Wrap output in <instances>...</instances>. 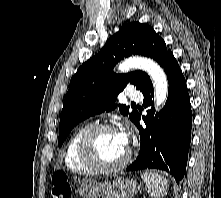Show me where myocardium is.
I'll return each mask as SVG.
<instances>
[{
	"label": "myocardium",
	"mask_w": 221,
	"mask_h": 198,
	"mask_svg": "<svg viewBox=\"0 0 221 198\" xmlns=\"http://www.w3.org/2000/svg\"><path fill=\"white\" fill-rule=\"evenodd\" d=\"M105 131H116V128L107 123L91 126L84 134L80 142V156L82 161L96 172L111 173L123 169L130 161L132 151L128 147L124 158L112 165L102 163L96 154V140L100 133Z\"/></svg>",
	"instance_id": "1"
}]
</instances>
